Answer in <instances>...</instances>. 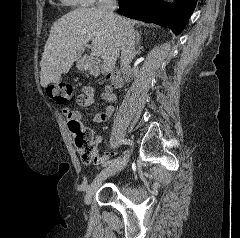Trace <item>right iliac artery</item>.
<instances>
[{
    "mask_svg": "<svg viewBox=\"0 0 240 238\" xmlns=\"http://www.w3.org/2000/svg\"><path fill=\"white\" fill-rule=\"evenodd\" d=\"M121 144L125 147H128L130 145V142H128L127 140H122L121 141ZM122 158H117V159H113V160H110V161H107L103 164V166H109V165H112L118 161H120Z\"/></svg>",
    "mask_w": 240,
    "mask_h": 238,
    "instance_id": "1",
    "label": "right iliac artery"
}]
</instances>
